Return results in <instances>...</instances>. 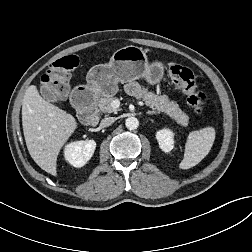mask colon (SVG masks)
<instances>
[{
    "instance_id": "obj_1",
    "label": "colon",
    "mask_w": 252,
    "mask_h": 252,
    "mask_svg": "<svg viewBox=\"0 0 252 252\" xmlns=\"http://www.w3.org/2000/svg\"><path fill=\"white\" fill-rule=\"evenodd\" d=\"M79 60L75 55L65 56L51 64L43 76L44 86L59 99L64 98L69 90V73L78 66ZM168 73L171 80L186 95L188 104L202 119L206 117V97L198 89L192 71L179 63H170Z\"/></svg>"
}]
</instances>
